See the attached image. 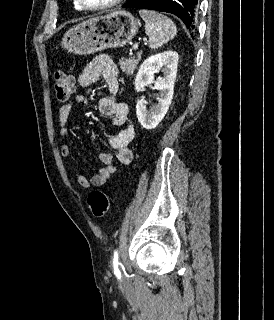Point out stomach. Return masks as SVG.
Here are the masks:
<instances>
[{
  "instance_id": "obj_1",
  "label": "stomach",
  "mask_w": 274,
  "mask_h": 320,
  "mask_svg": "<svg viewBox=\"0 0 274 320\" xmlns=\"http://www.w3.org/2000/svg\"><path fill=\"white\" fill-rule=\"evenodd\" d=\"M139 22L129 12L96 16L70 28L62 38V48L76 56H90L108 48H123L136 36Z\"/></svg>"
}]
</instances>
